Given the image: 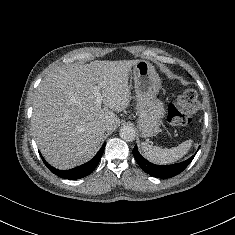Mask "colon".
<instances>
[{
	"mask_svg": "<svg viewBox=\"0 0 235 235\" xmlns=\"http://www.w3.org/2000/svg\"><path fill=\"white\" fill-rule=\"evenodd\" d=\"M199 102L195 90L187 89L181 93L167 109V118L174 127H184L188 125L193 114L198 110Z\"/></svg>",
	"mask_w": 235,
	"mask_h": 235,
	"instance_id": "colon-1",
	"label": "colon"
}]
</instances>
